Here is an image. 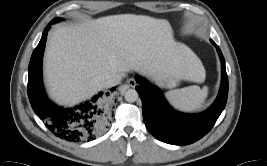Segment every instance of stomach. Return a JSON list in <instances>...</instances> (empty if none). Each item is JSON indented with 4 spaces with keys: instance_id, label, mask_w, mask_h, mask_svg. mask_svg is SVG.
<instances>
[{
    "instance_id": "0dacf381",
    "label": "stomach",
    "mask_w": 267,
    "mask_h": 166,
    "mask_svg": "<svg viewBox=\"0 0 267 166\" xmlns=\"http://www.w3.org/2000/svg\"><path fill=\"white\" fill-rule=\"evenodd\" d=\"M161 79V83L162 85L166 86V87H174L177 85L178 80L172 76L169 77H162Z\"/></svg>"
}]
</instances>
